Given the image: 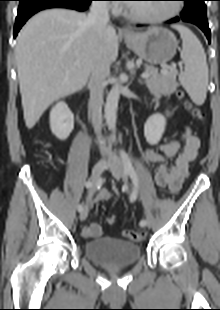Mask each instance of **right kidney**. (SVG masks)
I'll return each instance as SVG.
<instances>
[{
	"mask_svg": "<svg viewBox=\"0 0 220 310\" xmlns=\"http://www.w3.org/2000/svg\"><path fill=\"white\" fill-rule=\"evenodd\" d=\"M50 128L59 140H66L74 128V116L67 104L58 102L50 111Z\"/></svg>",
	"mask_w": 220,
	"mask_h": 310,
	"instance_id": "right-kidney-1",
	"label": "right kidney"
}]
</instances>
